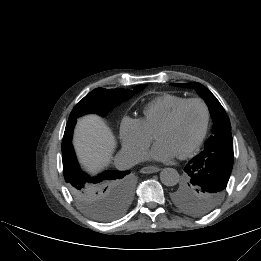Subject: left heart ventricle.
<instances>
[{
  "instance_id": "left-heart-ventricle-1",
  "label": "left heart ventricle",
  "mask_w": 261,
  "mask_h": 261,
  "mask_svg": "<svg viewBox=\"0 0 261 261\" xmlns=\"http://www.w3.org/2000/svg\"><path fill=\"white\" fill-rule=\"evenodd\" d=\"M204 123V110L198 103L188 105L178 121L171 127L158 132V141L168 142L178 154L182 153L201 133Z\"/></svg>"
}]
</instances>
